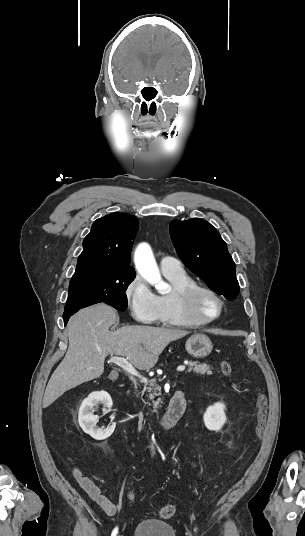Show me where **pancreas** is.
Returning <instances> with one entry per match:
<instances>
[{"instance_id":"cf45deb5","label":"pancreas","mask_w":305,"mask_h":536,"mask_svg":"<svg viewBox=\"0 0 305 536\" xmlns=\"http://www.w3.org/2000/svg\"><path fill=\"white\" fill-rule=\"evenodd\" d=\"M188 366H189V372L193 370V372H196V374H207V376H211V374H213L212 372L213 368H210L208 364H199V362H189ZM150 386H152V388H143V392H149V396H148L149 400H152L154 404V408H159V404H160L159 400L158 402H154L155 396H161L160 392H157L159 388H155L156 386L155 382H153V384H150Z\"/></svg>"}]
</instances>
